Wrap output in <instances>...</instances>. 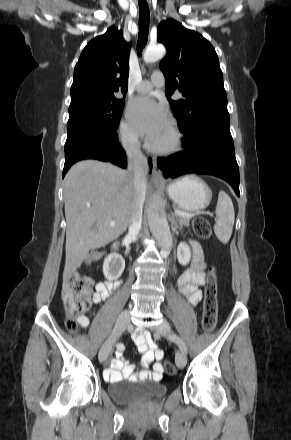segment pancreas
Returning a JSON list of instances; mask_svg holds the SVG:
<instances>
[{"instance_id": "pancreas-1", "label": "pancreas", "mask_w": 291, "mask_h": 440, "mask_svg": "<svg viewBox=\"0 0 291 440\" xmlns=\"http://www.w3.org/2000/svg\"><path fill=\"white\" fill-rule=\"evenodd\" d=\"M177 221H178V223L182 226V225H184V226H189L190 225V218H187V217H180V216H177Z\"/></svg>"}]
</instances>
